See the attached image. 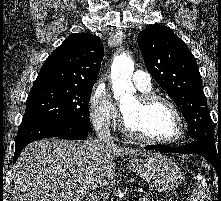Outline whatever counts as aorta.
Segmentation results:
<instances>
[{"instance_id":"762f6f07","label":"aorta","mask_w":221,"mask_h":201,"mask_svg":"<svg viewBox=\"0 0 221 201\" xmlns=\"http://www.w3.org/2000/svg\"><path fill=\"white\" fill-rule=\"evenodd\" d=\"M133 70L134 64L125 53L113 61L111 78L113 82L114 97L116 99L129 95L134 89L131 82Z\"/></svg>"}]
</instances>
